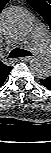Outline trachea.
<instances>
[{
    "label": "trachea",
    "mask_w": 51,
    "mask_h": 153,
    "mask_svg": "<svg viewBox=\"0 0 51 153\" xmlns=\"http://www.w3.org/2000/svg\"><path fill=\"white\" fill-rule=\"evenodd\" d=\"M27 56H32V53L29 52L28 50L15 48L9 53L8 58H18V57H27Z\"/></svg>",
    "instance_id": "3493384b"
}]
</instances>
